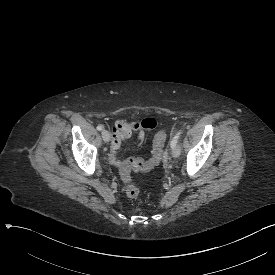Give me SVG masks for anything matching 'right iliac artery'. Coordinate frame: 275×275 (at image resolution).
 <instances>
[{
  "label": "right iliac artery",
  "instance_id": "right-iliac-artery-1",
  "mask_svg": "<svg viewBox=\"0 0 275 275\" xmlns=\"http://www.w3.org/2000/svg\"><path fill=\"white\" fill-rule=\"evenodd\" d=\"M102 129H103V126H102V125H98V126H97V130H98V131H101Z\"/></svg>",
  "mask_w": 275,
  "mask_h": 275
}]
</instances>
